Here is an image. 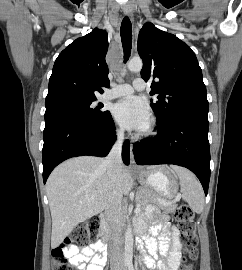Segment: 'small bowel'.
Instances as JSON below:
<instances>
[{
  "instance_id": "1",
  "label": "small bowel",
  "mask_w": 242,
  "mask_h": 270,
  "mask_svg": "<svg viewBox=\"0 0 242 270\" xmlns=\"http://www.w3.org/2000/svg\"><path fill=\"white\" fill-rule=\"evenodd\" d=\"M167 215L160 214L155 208H149L147 219H139L135 229L141 235L140 244L149 253L147 263L155 266L159 253L163 260L159 262L160 270H178L180 261L179 229L171 226ZM158 236V238H156ZM105 245L97 241L89 246L78 248L70 246L65 250L66 256L77 270H103L106 263Z\"/></svg>"
}]
</instances>
